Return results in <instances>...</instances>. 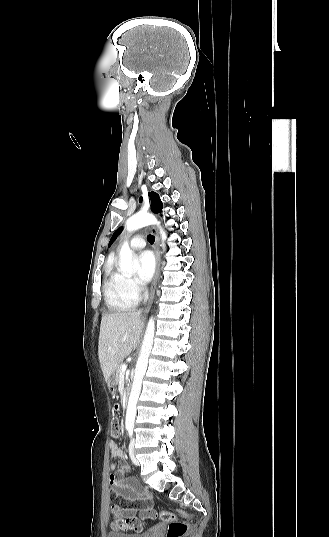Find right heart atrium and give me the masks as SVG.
Masks as SVG:
<instances>
[{
	"label": "right heart atrium",
	"instance_id": "obj_1",
	"mask_svg": "<svg viewBox=\"0 0 329 537\" xmlns=\"http://www.w3.org/2000/svg\"><path fill=\"white\" fill-rule=\"evenodd\" d=\"M124 288L127 292V294L134 300H138L140 298L142 288L137 283V281L134 278L131 277H125L124 278Z\"/></svg>",
	"mask_w": 329,
	"mask_h": 537
}]
</instances>
